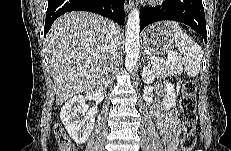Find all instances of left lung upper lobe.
<instances>
[{
    "mask_svg": "<svg viewBox=\"0 0 231 151\" xmlns=\"http://www.w3.org/2000/svg\"><path fill=\"white\" fill-rule=\"evenodd\" d=\"M176 1H178V0H167L165 2L168 3V5L173 6V5H175Z\"/></svg>",
    "mask_w": 231,
    "mask_h": 151,
    "instance_id": "left-lung-upper-lobe-1",
    "label": "left lung upper lobe"
}]
</instances>
